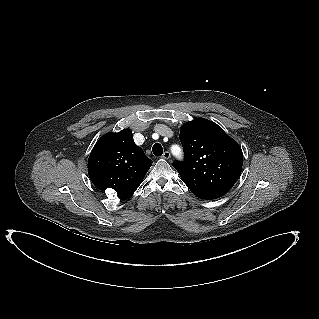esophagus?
I'll use <instances>...</instances> for the list:
<instances>
[{
    "mask_svg": "<svg viewBox=\"0 0 319 319\" xmlns=\"http://www.w3.org/2000/svg\"><path fill=\"white\" fill-rule=\"evenodd\" d=\"M162 157H163L164 159H169V158L171 157V154H170L169 151H165V152L163 153Z\"/></svg>",
    "mask_w": 319,
    "mask_h": 319,
    "instance_id": "34e87169",
    "label": "esophagus"
}]
</instances>
